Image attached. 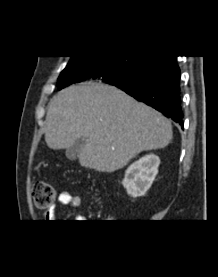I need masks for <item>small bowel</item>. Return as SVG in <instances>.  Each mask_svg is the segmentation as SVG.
I'll use <instances>...</instances> for the list:
<instances>
[{
    "label": "small bowel",
    "mask_w": 218,
    "mask_h": 277,
    "mask_svg": "<svg viewBox=\"0 0 218 277\" xmlns=\"http://www.w3.org/2000/svg\"><path fill=\"white\" fill-rule=\"evenodd\" d=\"M57 202L60 205L63 206H70L72 208H77L81 204V197L79 195L72 194L69 191H62L58 195V200ZM45 219L48 222H53V220L56 219L57 217V206L56 204H53L49 208L46 209L44 213ZM76 219H82V217L77 216Z\"/></svg>",
    "instance_id": "small-bowel-1"
}]
</instances>
